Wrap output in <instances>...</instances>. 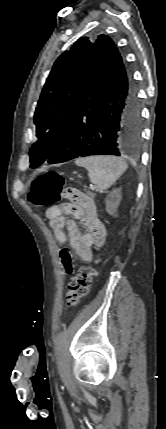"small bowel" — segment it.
<instances>
[{
    "mask_svg": "<svg viewBox=\"0 0 166 429\" xmlns=\"http://www.w3.org/2000/svg\"><path fill=\"white\" fill-rule=\"evenodd\" d=\"M46 217L58 243L70 242L77 256L85 262L92 258V246L100 247L106 237L104 224L96 215V207L92 202L87 205L63 203L46 210ZM68 217L78 219L85 231L81 233L77 225ZM58 255L67 274L74 270L73 257L65 248L58 249Z\"/></svg>",
    "mask_w": 166,
    "mask_h": 429,
    "instance_id": "obj_1",
    "label": "small bowel"
}]
</instances>
